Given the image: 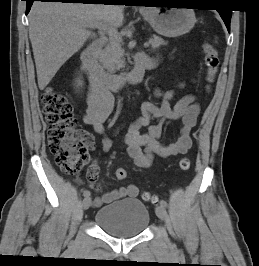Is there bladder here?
I'll list each match as a JSON object with an SVG mask.
<instances>
[{
    "instance_id": "obj_1",
    "label": "bladder",
    "mask_w": 259,
    "mask_h": 266,
    "mask_svg": "<svg viewBox=\"0 0 259 266\" xmlns=\"http://www.w3.org/2000/svg\"><path fill=\"white\" fill-rule=\"evenodd\" d=\"M95 223L108 234L118 238H131L148 226V208L138 199H124L100 207Z\"/></svg>"
}]
</instances>
